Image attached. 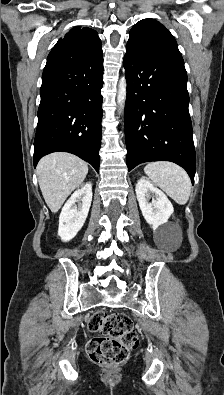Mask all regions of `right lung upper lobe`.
<instances>
[{
  "label": "right lung upper lobe",
  "mask_w": 224,
  "mask_h": 395,
  "mask_svg": "<svg viewBox=\"0 0 224 395\" xmlns=\"http://www.w3.org/2000/svg\"><path fill=\"white\" fill-rule=\"evenodd\" d=\"M63 40L72 42L79 52L87 56L95 57L102 54V44L97 32L88 27L81 28L78 26L72 28L58 42Z\"/></svg>",
  "instance_id": "obj_1"
}]
</instances>
